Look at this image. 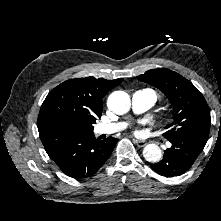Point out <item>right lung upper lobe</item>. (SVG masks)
<instances>
[{
  "label": "right lung upper lobe",
  "mask_w": 221,
  "mask_h": 221,
  "mask_svg": "<svg viewBox=\"0 0 221 221\" xmlns=\"http://www.w3.org/2000/svg\"><path fill=\"white\" fill-rule=\"evenodd\" d=\"M122 81L123 78L86 77L61 83L44 100L37 120L38 128L62 127L74 120L96 123L103 110L102 98Z\"/></svg>",
  "instance_id": "cb5924a9"
}]
</instances>
